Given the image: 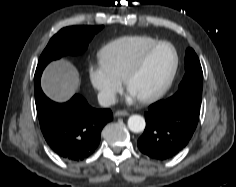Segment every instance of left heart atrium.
<instances>
[{"instance_id":"1","label":"left heart atrium","mask_w":236,"mask_h":187,"mask_svg":"<svg viewBox=\"0 0 236 187\" xmlns=\"http://www.w3.org/2000/svg\"><path fill=\"white\" fill-rule=\"evenodd\" d=\"M128 98L134 99L136 98V96L131 91L128 90Z\"/></svg>"}]
</instances>
